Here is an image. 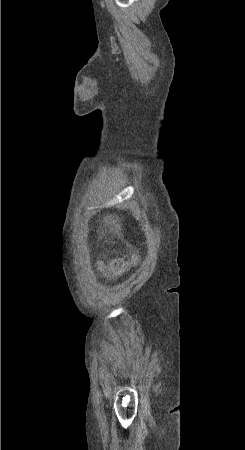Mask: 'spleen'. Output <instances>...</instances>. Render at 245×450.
<instances>
[{
  "instance_id": "3e777b00",
  "label": "spleen",
  "mask_w": 245,
  "mask_h": 450,
  "mask_svg": "<svg viewBox=\"0 0 245 450\" xmlns=\"http://www.w3.org/2000/svg\"><path fill=\"white\" fill-rule=\"evenodd\" d=\"M104 220H105L106 224H108L109 226L113 225L116 230L120 229V224L117 223L118 220H115L114 217L107 216L106 218H104ZM112 230H113V228H112Z\"/></svg>"
}]
</instances>
